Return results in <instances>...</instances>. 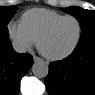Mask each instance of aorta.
<instances>
[{"label":"aorta","instance_id":"1","mask_svg":"<svg viewBox=\"0 0 95 95\" xmlns=\"http://www.w3.org/2000/svg\"><path fill=\"white\" fill-rule=\"evenodd\" d=\"M32 72L37 78H45L48 75L49 66L43 60L36 61L32 65Z\"/></svg>","mask_w":95,"mask_h":95}]
</instances>
